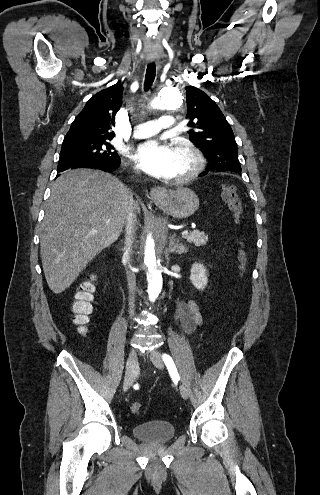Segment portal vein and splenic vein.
<instances>
[{"label":"portal vein and splenic vein","mask_w":320,"mask_h":495,"mask_svg":"<svg viewBox=\"0 0 320 495\" xmlns=\"http://www.w3.org/2000/svg\"><path fill=\"white\" fill-rule=\"evenodd\" d=\"M188 234H189V233H188V231H183V232H182V235H183V236H184V235H188Z\"/></svg>","instance_id":"1"}]
</instances>
